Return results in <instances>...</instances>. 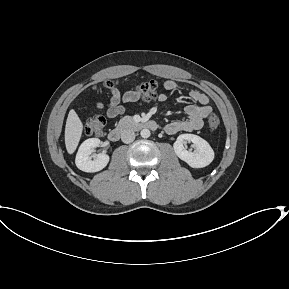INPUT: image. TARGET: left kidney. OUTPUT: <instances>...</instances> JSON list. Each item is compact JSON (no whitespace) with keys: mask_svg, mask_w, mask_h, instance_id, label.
<instances>
[{"mask_svg":"<svg viewBox=\"0 0 289 289\" xmlns=\"http://www.w3.org/2000/svg\"><path fill=\"white\" fill-rule=\"evenodd\" d=\"M192 142L193 151L187 150L186 143ZM176 155L193 168L208 166L214 159V151L209 143L194 134H181L173 145Z\"/></svg>","mask_w":289,"mask_h":289,"instance_id":"1","label":"left kidney"}]
</instances>
